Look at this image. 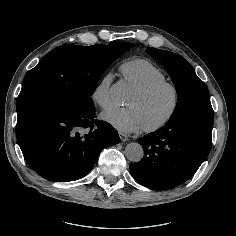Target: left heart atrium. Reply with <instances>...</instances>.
Wrapping results in <instances>:
<instances>
[{"mask_svg":"<svg viewBox=\"0 0 236 236\" xmlns=\"http://www.w3.org/2000/svg\"><path fill=\"white\" fill-rule=\"evenodd\" d=\"M102 118L120 132L128 133L143 128L138 110L134 107H113L106 110Z\"/></svg>","mask_w":236,"mask_h":236,"instance_id":"1","label":"left heart atrium"}]
</instances>
